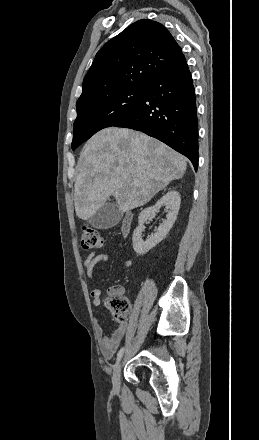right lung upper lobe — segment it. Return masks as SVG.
Returning a JSON list of instances; mask_svg holds the SVG:
<instances>
[{
  "label": "right lung upper lobe",
  "mask_w": 259,
  "mask_h": 440,
  "mask_svg": "<svg viewBox=\"0 0 259 440\" xmlns=\"http://www.w3.org/2000/svg\"><path fill=\"white\" fill-rule=\"evenodd\" d=\"M182 56L181 47L162 24L139 20L97 52L76 108L119 90L148 88Z\"/></svg>",
  "instance_id": "right-lung-upper-lobe-1"
}]
</instances>
